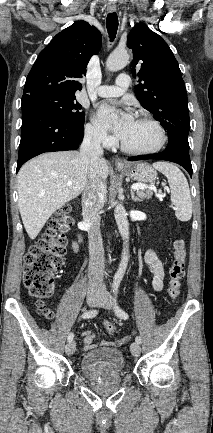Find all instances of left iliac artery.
Returning <instances> with one entry per match:
<instances>
[{
	"label": "left iliac artery",
	"instance_id": "left-iliac-artery-1",
	"mask_svg": "<svg viewBox=\"0 0 213 433\" xmlns=\"http://www.w3.org/2000/svg\"><path fill=\"white\" fill-rule=\"evenodd\" d=\"M113 293H114L115 298H117V296H118V287L114 288ZM115 313L117 314L118 317H120L122 319H128V317H129L128 314L124 310H122L118 305L115 306ZM135 341L140 344L141 343L140 336H137L135 338Z\"/></svg>",
	"mask_w": 213,
	"mask_h": 433
}]
</instances>
